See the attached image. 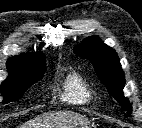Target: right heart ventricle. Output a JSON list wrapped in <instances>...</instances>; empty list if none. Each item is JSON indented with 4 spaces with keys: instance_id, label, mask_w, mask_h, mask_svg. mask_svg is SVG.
<instances>
[{
    "instance_id": "e07e8e85",
    "label": "right heart ventricle",
    "mask_w": 142,
    "mask_h": 128,
    "mask_svg": "<svg viewBox=\"0 0 142 128\" xmlns=\"http://www.w3.org/2000/svg\"><path fill=\"white\" fill-rule=\"evenodd\" d=\"M94 98V92L78 73L68 74L61 86V99L75 104H87Z\"/></svg>"
}]
</instances>
